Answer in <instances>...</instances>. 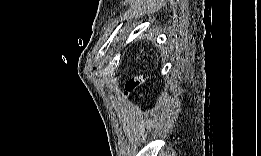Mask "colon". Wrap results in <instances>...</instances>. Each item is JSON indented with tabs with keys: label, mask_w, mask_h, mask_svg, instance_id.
Listing matches in <instances>:
<instances>
[{
	"label": "colon",
	"mask_w": 261,
	"mask_h": 156,
	"mask_svg": "<svg viewBox=\"0 0 261 156\" xmlns=\"http://www.w3.org/2000/svg\"><path fill=\"white\" fill-rule=\"evenodd\" d=\"M144 83L142 77H133L126 83V94L129 95Z\"/></svg>",
	"instance_id": "colon-1"
}]
</instances>
